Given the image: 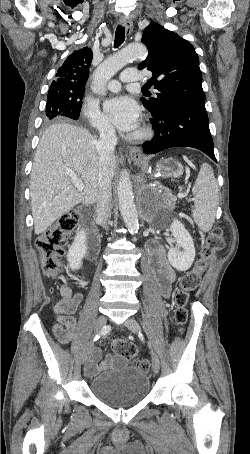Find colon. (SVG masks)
Masks as SVG:
<instances>
[{"label": "colon", "mask_w": 250, "mask_h": 454, "mask_svg": "<svg viewBox=\"0 0 250 454\" xmlns=\"http://www.w3.org/2000/svg\"><path fill=\"white\" fill-rule=\"evenodd\" d=\"M78 217L74 212L62 215L55 224L49 227L36 241V247L40 254L42 271L47 277H57L62 268V256L64 246L70 234L77 226ZM224 239L220 228L211 230L203 245L201 246L199 257L194 266L186 271L179 282L175 292L174 302L175 321L178 325H184L188 320L186 305L190 299V294L199 285L203 273L209 266L212 257L223 248ZM112 351L115 355L135 359V347L125 340H115L112 343ZM139 366L143 370L149 369L147 360L139 361Z\"/></svg>", "instance_id": "5ec220e1"}]
</instances>
